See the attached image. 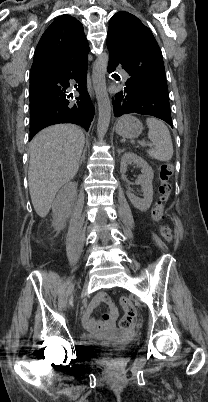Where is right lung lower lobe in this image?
Returning <instances> with one entry per match:
<instances>
[{"instance_id":"1","label":"right lung lower lobe","mask_w":208,"mask_h":402,"mask_svg":"<svg viewBox=\"0 0 208 402\" xmlns=\"http://www.w3.org/2000/svg\"><path fill=\"white\" fill-rule=\"evenodd\" d=\"M89 49L72 60L66 68L31 72L30 74V139L43 128L59 124L73 123L86 131L95 113L94 106L86 88ZM77 81L79 97L75 102L69 100L73 95L67 92L69 80Z\"/></svg>"}]
</instances>
